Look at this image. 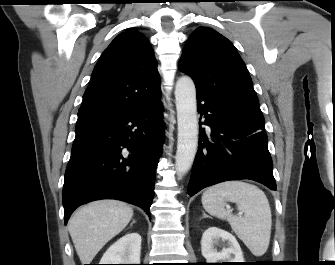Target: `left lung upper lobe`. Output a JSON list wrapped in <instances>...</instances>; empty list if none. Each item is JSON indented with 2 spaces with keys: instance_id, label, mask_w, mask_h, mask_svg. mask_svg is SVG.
<instances>
[{
  "instance_id": "1",
  "label": "left lung upper lobe",
  "mask_w": 335,
  "mask_h": 265,
  "mask_svg": "<svg viewBox=\"0 0 335 265\" xmlns=\"http://www.w3.org/2000/svg\"><path fill=\"white\" fill-rule=\"evenodd\" d=\"M179 70L190 75L196 91L264 121L249 72L233 44L208 27L187 41Z\"/></svg>"
}]
</instances>
